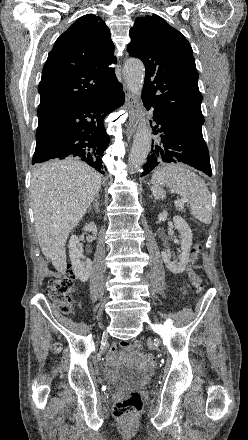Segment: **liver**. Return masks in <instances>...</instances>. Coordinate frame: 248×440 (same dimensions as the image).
I'll list each match as a JSON object with an SVG mask.
<instances>
[{
  "mask_svg": "<svg viewBox=\"0 0 248 440\" xmlns=\"http://www.w3.org/2000/svg\"><path fill=\"white\" fill-rule=\"evenodd\" d=\"M101 187V175L72 157L37 165L32 173L30 200L43 255L55 269L66 272V242Z\"/></svg>",
  "mask_w": 248,
  "mask_h": 440,
  "instance_id": "1",
  "label": "liver"
}]
</instances>
